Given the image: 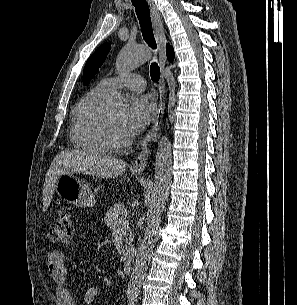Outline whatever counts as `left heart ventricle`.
Segmentation results:
<instances>
[{
    "label": "left heart ventricle",
    "instance_id": "obj_1",
    "mask_svg": "<svg viewBox=\"0 0 297 305\" xmlns=\"http://www.w3.org/2000/svg\"><path fill=\"white\" fill-rule=\"evenodd\" d=\"M109 118L111 120L116 139L120 141L127 139L128 136L122 127L124 115L122 113H110Z\"/></svg>",
    "mask_w": 297,
    "mask_h": 305
}]
</instances>
